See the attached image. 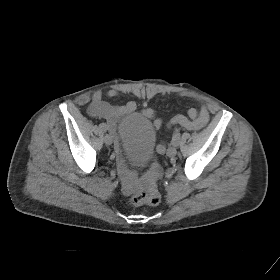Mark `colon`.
Here are the masks:
<instances>
[{
  "mask_svg": "<svg viewBox=\"0 0 280 280\" xmlns=\"http://www.w3.org/2000/svg\"><path fill=\"white\" fill-rule=\"evenodd\" d=\"M159 175L160 166L156 161H154L150 168V181L146 190L132 195L129 199V203L133 206H154L159 204L161 196L156 185V179Z\"/></svg>",
  "mask_w": 280,
  "mask_h": 280,
  "instance_id": "1",
  "label": "colon"
}]
</instances>
